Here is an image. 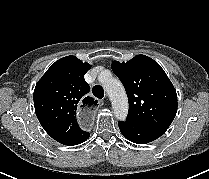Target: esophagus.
Listing matches in <instances>:
<instances>
[{"label":"esophagus","mask_w":209,"mask_h":179,"mask_svg":"<svg viewBox=\"0 0 209 179\" xmlns=\"http://www.w3.org/2000/svg\"><path fill=\"white\" fill-rule=\"evenodd\" d=\"M97 107V99L94 96H85L77 109V122L82 127H89L93 123V115Z\"/></svg>","instance_id":"obj_1"}]
</instances>
